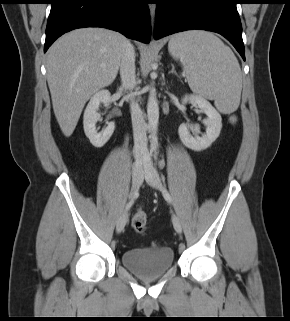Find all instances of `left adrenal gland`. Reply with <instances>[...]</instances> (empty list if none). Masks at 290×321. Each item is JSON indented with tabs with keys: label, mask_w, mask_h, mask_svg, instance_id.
I'll use <instances>...</instances> for the list:
<instances>
[{
	"label": "left adrenal gland",
	"mask_w": 290,
	"mask_h": 321,
	"mask_svg": "<svg viewBox=\"0 0 290 321\" xmlns=\"http://www.w3.org/2000/svg\"><path fill=\"white\" fill-rule=\"evenodd\" d=\"M171 66H172V69H171V71L169 72V74H170V73H172V74H174V75L178 76L177 72L175 71V67H174V65H173V64H171Z\"/></svg>",
	"instance_id": "left-adrenal-gland-1"
}]
</instances>
